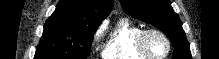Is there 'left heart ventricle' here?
Listing matches in <instances>:
<instances>
[{
	"mask_svg": "<svg viewBox=\"0 0 219 59\" xmlns=\"http://www.w3.org/2000/svg\"><path fill=\"white\" fill-rule=\"evenodd\" d=\"M147 47L149 51L156 56L163 55L166 51V43L158 35H151L148 37Z\"/></svg>",
	"mask_w": 219,
	"mask_h": 59,
	"instance_id": "obj_1",
	"label": "left heart ventricle"
}]
</instances>
